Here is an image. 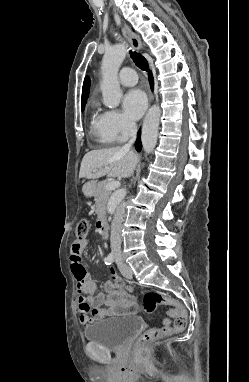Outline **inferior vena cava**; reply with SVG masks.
Wrapping results in <instances>:
<instances>
[{
  "instance_id": "1",
  "label": "inferior vena cava",
  "mask_w": 249,
  "mask_h": 382,
  "mask_svg": "<svg viewBox=\"0 0 249 382\" xmlns=\"http://www.w3.org/2000/svg\"><path fill=\"white\" fill-rule=\"evenodd\" d=\"M129 130H130V140L128 141V143H126L122 147L123 150L125 151H129L132 144L136 140L137 126L135 122L129 123ZM123 217H124V208L122 206H119L116 209L114 218L112 220L111 237H110L111 250L119 264L121 260V226H122Z\"/></svg>"
}]
</instances>
